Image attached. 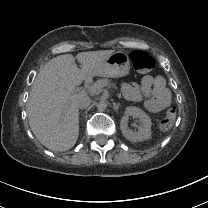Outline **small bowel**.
I'll return each instance as SVG.
<instances>
[{
    "mask_svg": "<svg viewBox=\"0 0 208 208\" xmlns=\"http://www.w3.org/2000/svg\"><path fill=\"white\" fill-rule=\"evenodd\" d=\"M122 90L128 100H144V106L149 112H161L170 106V94L162 76L145 75L140 83H124Z\"/></svg>",
    "mask_w": 208,
    "mask_h": 208,
    "instance_id": "small-bowel-1",
    "label": "small bowel"
}]
</instances>
